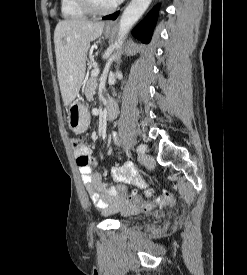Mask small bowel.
I'll list each match as a JSON object with an SVG mask.
<instances>
[{
  "label": "small bowel",
  "mask_w": 247,
  "mask_h": 275,
  "mask_svg": "<svg viewBox=\"0 0 247 275\" xmlns=\"http://www.w3.org/2000/svg\"><path fill=\"white\" fill-rule=\"evenodd\" d=\"M76 155L82 180L90 200L97 209L105 213L129 212L135 209V205L119 196L115 188L108 186L100 174L93 172L96 160L91 156L89 147L84 146L81 151L76 152ZM82 156L86 157V161L81 160ZM112 178L118 185L144 187V182L140 179L132 164L113 167ZM146 195L150 196L151 191H146Z\"/></svg>",
  "instance_id": "obj_1"
}]
</instances>
